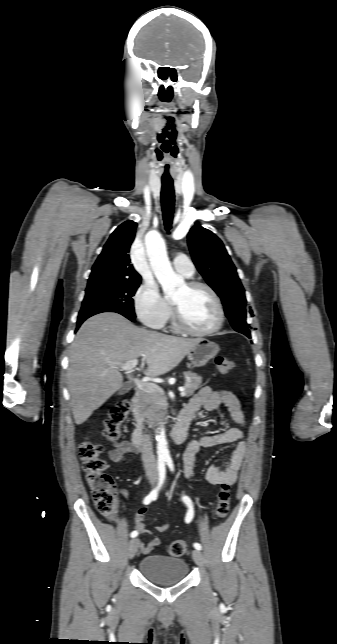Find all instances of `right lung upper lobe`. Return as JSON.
Instances as JSON below:
<instances>
[{
	"instance_id": "right-lung-upper-lobe-1",
	"label": "right lung upper lobe",
	"mask_w": 337,
	"mask_h": 644,
	"mask_svg": "<svg viewBox=\"0 0 337 644\" xmlns=\"http://www.w3.org/2000/svg\"><path fill=\"white\" fill-rule=\"evenodd\" d=\"M137 224L131 220L122 223L111 234L92 267L89 282L141 281V276L130 264L128 255L135 238Z\"/></svg>"
}]
</instances>
